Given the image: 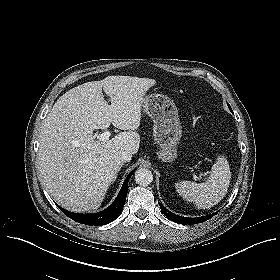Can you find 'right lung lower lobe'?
Listing matches in <instances>:
<instances>
[{
    "instance_id": "right-lung-lower-lobe-1",
    "label": "right lung lower lobe",
    "mask_w": 280,
    "mask_h": 280,
    "mask_svg": "<svg viewBox=\"0 0 280 280\" xmlns=\"http://www.w3.org/2000/svg\"><path fill=\"white\" fill-rule=\"evenodd\" d=\"M134 171L130 172L128 176L126 177L122 188L117 196V198L114 200L111 206H109L107 209L98 212V213H93V214H79V213H73L68 210H65L61 207L60 210L66 214L68 217H70L72 220L86 224V225H94V226H101L105 225L107 223L112 222L114 219L118 217L120 212L123 209V206L126 201V196H127V186H128V181L130 177L132 176Z\"/></svg>"
}]
</instances>
